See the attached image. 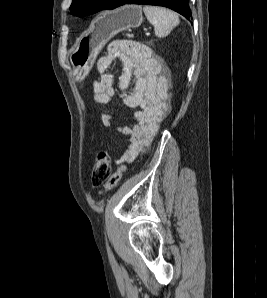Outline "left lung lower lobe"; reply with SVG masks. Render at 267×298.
Listing matches in <instances>:
<instances>
[{"label":"left lung lower lobe","instance_id":"obj_1","mask_svg":"<svg viewBox=\"0 0 267 298\" xmlns=\"http://www.w3.org/2000/svg\"><path fill=\"white\" fill-rule=\"evenodd\" d=\"M124 4H144V5H158L170 8L187 19L191 17L188 0H119L117 7Z\"/></svg>","mask_w":267,"mask_h":298}]
</instances>
